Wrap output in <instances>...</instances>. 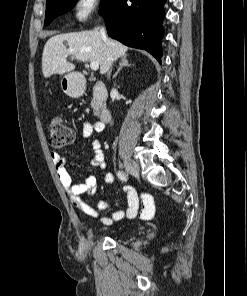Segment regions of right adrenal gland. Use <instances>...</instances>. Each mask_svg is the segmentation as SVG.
Masks as SVG:
<instances>
[{"instance_id": "1", "label": "right adrenal gland", "mask_w": 247, "mask_h": 296, "mask_svg": "<svg viewBox=\"0 0 247 296\" xmlns=\"http://www.w3.org/2000/svg\"><path fill=\"white\" fill-rule=\"evenodd\" d=\"M125 66L127 67L131 66V64L128 63L127 55L122 56L121 62L119 63V68L117 69L116 73L113 75V78H115L120 72V70Z\"/></svg>"}]
</instances>
